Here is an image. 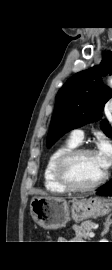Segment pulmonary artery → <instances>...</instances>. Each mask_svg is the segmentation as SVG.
Returning <instances> with one entry per match:
<instances>
[{
    "label": "pulmonary artery",
    "mask_w": 112,
    "mask_h": 270,
    "mask_svg": "<svg viewBox=\"0 0 112 270\" xmlns=\"http://www.w3.org/2000/svg\"><path fill=\"white\" fill-rule=\"evenodd\" d=\"M71 139H73L77 143H81L84 139V132L81 129H74L71 132Z\"/></svg>",
    "instance_id": "1"
}]
</instances>
